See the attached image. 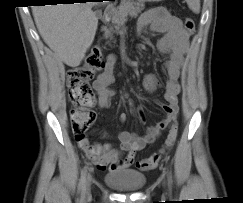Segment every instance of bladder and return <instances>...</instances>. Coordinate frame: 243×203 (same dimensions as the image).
Segmentation results:
<instances>
[{"instance_id":"obj_1","label":"bladder","mask_w":243,"mask_h":203,"mask_svg":"<svg viewBox=\"0 0 243 203\" xmlns=\"http://www.w3.org/2000/svg\"><path fill=\"white\" fill-rule=\"evenodd\" d=\"M104 181L119 191H135L145 184L146 177L137 170L121 168L107 173L104 176Z\"/></svg>"}]
</instances>
